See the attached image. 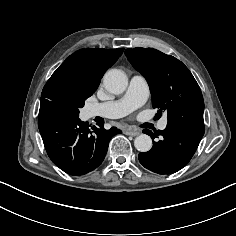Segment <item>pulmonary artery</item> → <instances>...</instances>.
<instances>
[{
  "label": "pulmonary artery",
  "instance_id": "obj_1",
  "mask_svg": "<svg viewBox=\"0 0 236 236\" xmlns=\"http://www.w3.org/2000/svg\"><path fill=\"white\" fill-rule=\"evenodd\" d=\"M149 96V88L144 76L135 74L131 77L129 86L124 96L115 101L90 104L86 111L88 117H104L116 119L126 116L135 109L142 106ZM167 126V119L163 118L158 128L164 130Z\"/></svg>",
  "mask_w": 236,
  "mask_h": 236
}]
</instances>
